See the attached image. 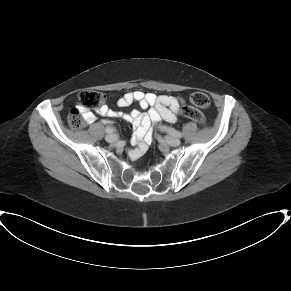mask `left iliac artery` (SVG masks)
Masks as SVG:
<instances>
[{
    "instance_id": "44dca946",
    "label": "left iliac artery",
    "mask_w": 291,
    "mask_h": 291,
    "mask_svg": "<svg viewBox=\"0 0 291 291\" xmlns=\"http://www.w3.org/2000/svg\"><path fill=\"white\" fill-rule=\"evenodd\" d=\"M168 131L171 135L177 137V138H181L182 137V133L173 129V128H168Z\"/></svg>"
}]
</instances>
